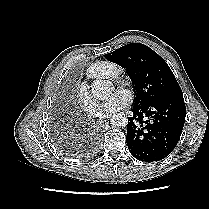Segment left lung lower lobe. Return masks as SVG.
<instances>
[{
  "mask_svg": "<svg viewBox=\"0 0 209 209\" xmlns=\"http://www.w3.org/2000/svg\"><path fill=\"white\" fill-rule=\"evenodd\" d=\"M128 118L126 142L138 160L160 161L176 147L185 122L183 96L133 106Z\"/></svg>",
  "mask_w": 209,
  "mask_h": 209,
  "instance_id": "left-lung-lower-lobe-1",
  "label": "left lung lower lobe"
}]
</instances>
